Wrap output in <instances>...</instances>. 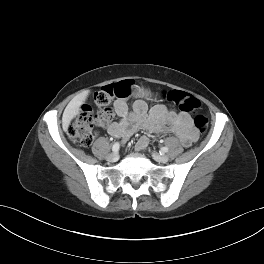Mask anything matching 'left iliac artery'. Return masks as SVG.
<instances>
[{
  "label": "left iliac artery",
  "mask_w": 264,
  "mask_h": 264,
  "mask_svg": "<svg viewBox=\"0 0 264 264\" xmlns=\"http://www.w3.org/2000/svg\"><path fill=\"white\" fill-rule=\"evenodd\" d=\"M166 152H168V148L167 147H162L161 151H160V154L166 153Z\"/></svg>",
  "instance_id": "obj_1"
}]
</instances>
